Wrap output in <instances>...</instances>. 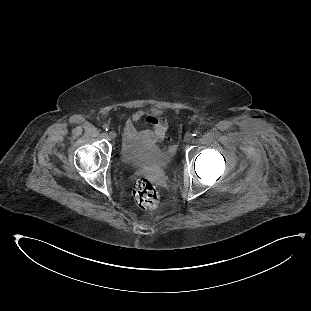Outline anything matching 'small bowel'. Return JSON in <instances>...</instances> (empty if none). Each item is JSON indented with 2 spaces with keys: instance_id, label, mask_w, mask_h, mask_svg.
I'll return each mask as SVG.
<instances>
[{
  "instance_id": "1",
  "label": "small bowel",
  "mask_w": 311,
  "mask_h": 311,
  "mask_svg": "<svg viewBox=\"0 0 311 311\" xmlns=\"http://www.w3.org/2000/svg\"><path fill=\"white\" fill-rule=\"evenodd\" d=\"M141 120H144L151 128L138 130L136 126ZM167 128V121L158 110H137L129 117L124 126L125 145L131 148L159 143L164 139Z\"/></svg>"
}]
</instances>
